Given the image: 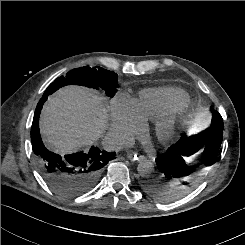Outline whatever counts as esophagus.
Wrapping results in <instances>:
<instances>
[{"mask_svg":"<svg viewBox=\"0 0 245 245\" xmlns=\"http://www.w3.org/2000/svg\"><path fill=\"white\" fill-rule=\"evenodd\" d=\"M127 157L129 160L133 161V162H142L145 160V156L143 155H138L137 153L134 152H129L127 154Z\"/></svg>","mask_w":245,"mask_h":245,"instance_id":"esophagus-1","label":"esophagus"}]
</instances>
